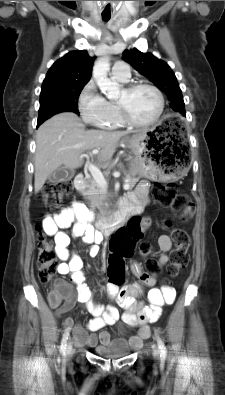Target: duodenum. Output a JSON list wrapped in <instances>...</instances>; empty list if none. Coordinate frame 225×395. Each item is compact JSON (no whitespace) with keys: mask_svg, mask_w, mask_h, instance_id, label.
<instances>
[{"mask_svg":"<svg viewBox=\"0 0 225 395\" xmlns=\"http://www.w3.org/2000/svg\"><path fill=\"white\" fill-rule=\"evenodd\" d=\"M75 187L78 191H84L87 188V180L83 174H78L75 178ZM131 215L127 210L120 209L106 218L97 221V229L104 236L112 234L116 228H120L127 222Z\"/></svg>","mask_w":225,"mask_h":395,"instance_id":"1","label":"duodenum"}]
</instances>
